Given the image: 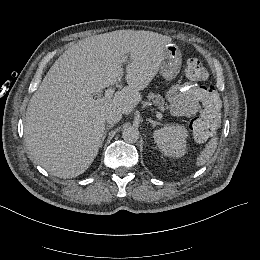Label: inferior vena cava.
I'll use <instances>...</instances> for the list:
<instances>
[{"label": "inferior vena cava", "instance_id": "inferior-vena-cava-1", "mask_svg": "<svg viewBox=\"0 0 260 260\" xmlns=\"http://www.w3.org/2000/svg\"><path fill=\"white\" fill-rule=\"evenodd\" d=\"M122 118V114L117 109H111L107 112L105 122L108 125H114L118 123ZM105 130V124L100 119V123L94 126V133L101 134Z\"/></svg>", "mask_w": 260, "mask_h": 260}]
</instances>
